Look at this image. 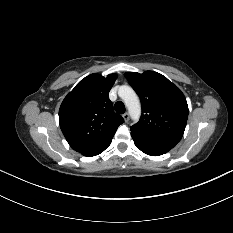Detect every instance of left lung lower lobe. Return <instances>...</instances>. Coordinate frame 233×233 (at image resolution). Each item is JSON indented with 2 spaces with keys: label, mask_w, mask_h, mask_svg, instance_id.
Wrapping results in <instances>:
<instances>
[{
  "label": "left lung lower lobe",
  "mask_w": 233,
  "mask_h": 233,
  "mask_svg": "<svg viewBox=\"0 0 233 233\" xmlns=\"http://www.w3.org/2000/svg\"><path fill=\"white\" fill-rule=\"evenodd\" d=\"M131 136L136 147L145 154L151 156H159L165 154L178 143L176 141L168 139L138 135L135 134L133 131H131Z\"/></svg>",
  "instance_id": "1"
}]
</instances>
